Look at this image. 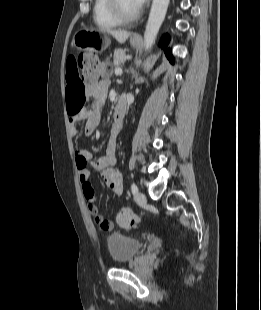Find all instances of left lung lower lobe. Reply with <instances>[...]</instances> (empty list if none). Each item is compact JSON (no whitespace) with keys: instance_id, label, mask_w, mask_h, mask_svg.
I'll return each mask as SVG.
<instances>
[{"instance_id":"0a47b994","label":"left lung lower lobe","mask_w":261,"mask_h":310,"mask_svg":"<svg viewBox=\"0 0 261 310\" xmlns=\"http://www.w3.org/2000/svg\"><path fill=\"white\" fill-rule=\"evenodd\" d=\"M169 43V37L168 35L166 34L163 38H162V41L160 43V46L165 50V54L167 56V58L170 60L171 63H174V58L171 54V50L168 48L166 49V46L168 45Z\"/></svg>"}]
</instances>
